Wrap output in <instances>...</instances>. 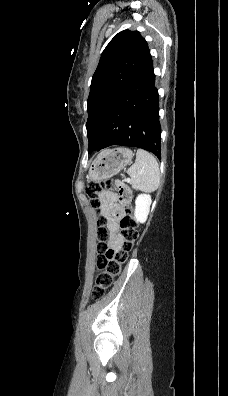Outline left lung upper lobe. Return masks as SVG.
I'll return each mask as SVG.
<instances>
[{"label": "left lung upper lobe", "mask_w": 228, "mask_h": 396, "mask_svg": "<svg viewBox=\"0 0 228 396\" xmlns=\"http://www.w3.org/2000/svg\"><path fill=\"white\" fill-rule=\"evenodd\" d=\"M150 60L147 42L137 31L119 32L104 49L87 100L89 153L98 150L101 130L122 112L124 106L118 101Z\"/></svg>", "instance_id": "obj_1"}]
</instances>
